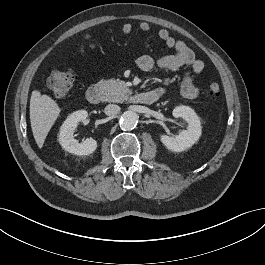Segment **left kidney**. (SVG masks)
Returning <instances> with one entry per match:
<instances>
[{
    "label": "left kidney",
    "instance_id": "5707ae66",
    "mask_svg": "<svg viewBox=\"0 0 265 265\" xmlns=\"http://www.w3.org/2000/svg\"><path fill=\"white\" fill-rule=\"evenodd\" d=\"M172 114L175 118L181 117L187 122V130H183L175 137L162 134L160 140L167 149L181 152L190 148L199 140L202 132L201 122L195 111L189 106L175 107Z\"/></svg>",
    "mask_w": 265,
    "mask_h": 265
}]
</instances>
